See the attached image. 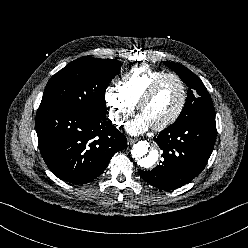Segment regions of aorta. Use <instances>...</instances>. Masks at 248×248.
Returning <instances> with one entry per match:
<instances>
[{"label":"aorta","mask_w":248,"mask_h":248,"mask_svg":"<svg viewBox=\"0 0 248 248\" xmlns=\"http://www.w3.org/2000/svg\"><path fill=\"white\" fill-rule=\"evenodd\" d=\"M131 155L138 165L144 168L152 167L159 158V152L154 148H150V144L147 141H139L134 144Z\"/></svg>","instance_id":"762f6f07"}]
</instances>
